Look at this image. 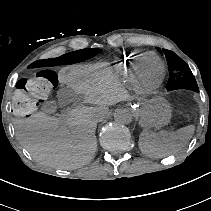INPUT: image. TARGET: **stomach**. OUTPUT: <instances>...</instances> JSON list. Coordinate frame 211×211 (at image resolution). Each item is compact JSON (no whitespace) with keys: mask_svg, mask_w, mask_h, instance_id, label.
I'll use <instances>...</instances> for the list:
<instances>
[{"mask_svg":"<svg viewBox=\"0 0 211 211\" xmlns=\"http://www.w3.org/2000/svg\"><path fill=\"white\" fill-rule=\"evenodd\" d=\"M137 114L142 127L158 129L169 123L171 107L164 98L158 97L137 108Z\"/></svg>","mask_w":211,"mask_h":211,"instance_id":"1","label":"stomach"}]
</instances>
